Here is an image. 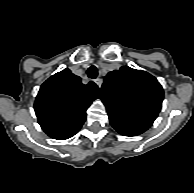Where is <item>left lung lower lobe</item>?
Returning a JSON list of instances; mask_svg holds the SVG:
<instances>
[{
    "instance_id": "left-lung-lower-lobe-1",
    "label": "left lung lower lobe",
    "mask_w": 194,
    "mask_h": 193,
    "mask_svg": "<svg viewBox=\"0 0 194 193\" xmlns=\"http://www.w3.org/2000/svg\"><path fill=\"white\" fill-rule=\"evenodd\" d=\"M110 124L120 134L124 136H136L147 130L146 127L138 125L124 119L117 118L112 115H108Z\"/></svg>"
}]
</instances>
